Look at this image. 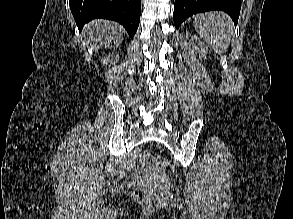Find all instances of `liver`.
Instances as JSON below:
<instances>
[{
    "label": "liver",
    "mask_w": 293,
    "mask_h": 219,
    "mask_svg": "<svg viewBox=\"0 0 293 219\" xmlns=\"http://www.w3.org/2000/svg\"><path fill=\"white\" fill-rule=\"evenodd\" d=\"M84 30L92 38L96 48H111L112 43L119 44L122 41L121 29L114 22L95 20L86 25Z\"/></svg>",
    "instance_id": "liver-1"
}]
</instances>
